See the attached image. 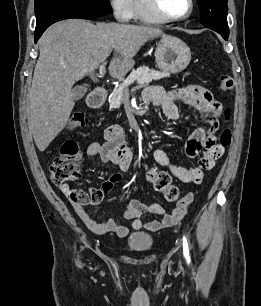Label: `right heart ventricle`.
Here are the masks:
<instances>
[{"instance_id": "e07e8e85", "label": "right heart ventricle", "mask_w": 261, "mask_h": 306, "mask_svg": "<svg viewBox=\"0 0 261 306\" xmlns=\"http://www.w3.org/2000/svg\"><path fill=\"white\" fill-rule=\"evenodd\" d=\"M132 17L145 23H161L162 21L153 16L145 7L144 0H133Z\"/></svg>"}]
</instances>
